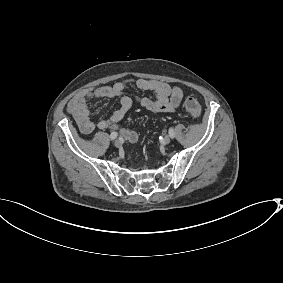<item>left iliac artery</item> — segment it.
<instances>
[{
    "label": "left iliac artery",
    "instance_id": "1",
    "mask_svg": "<svg viewBox=\"0 0 283 283\" xmlns=\"http://www.w3.org/2000/svg\"><path fill=\"white\" fill-rule=\"evenodd\" d=\"M169 136L173 139L174 138V131L172 128L169 129Z\"/></svg>",
    "mask_w": 283,
    "mask_h": 283
}]
</instances>
